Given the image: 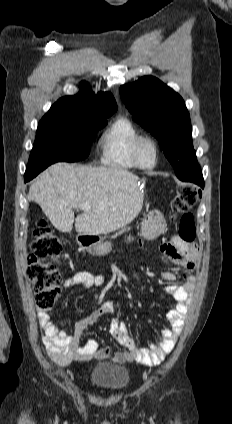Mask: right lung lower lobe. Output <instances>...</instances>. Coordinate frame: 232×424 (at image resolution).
I'll return each mask as SVG.
<instances>
[{
    "label": "right lung lower lobe",
    "instance_id": "1",
    "mask_svg": "<svg viewBox=\"0 0 232 424\" xmlns=\"http://www.w3.org/2000/svg\"><path fill=\"white\" fill-rule=\"evenodd\" d=\"M42 171H43V170H42ZM40 172H41V171H40ZM40 172H36V173L30 174V175L25 174V176H24L25 182H27V181H29V180L33 179V178H34L35 176H37Z\"/></svg>",
    "mask_w": 232,
    "mask_h": 424
}]
</instances>
